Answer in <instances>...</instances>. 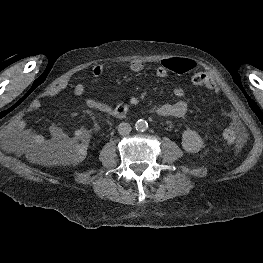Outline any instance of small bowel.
<instances>
[{
	"label": "small bowel",
	"mask_w": 263,
	"mask_h": 263,
	"mask_svg": "<svg viewBox=\"0 0 263 263\" xmlns=\"http://www.w3.org/2000/svg\"><path fill=\"white\" fill-rule=\"evenodd\" d=\"M172 59V58H170ZM170 59H163L161 60L157 67H156V75L159 78H166L168 75L172 72L166 65V63ZM192 63V69L195 66V63L193 60L184 58ZM130 69L135 72H141L144 69V62L141 60H133L130 63ZM93 76L99 77L104 72V67L101 64H96L92 67L91 70ZM70 85V80L68 78H64L59 80L57 83L50 85L46 88L44 91L45 97H54L59 94H61L63 91H65ZM73 92L77 97L83 98V105L99 110L105 113H111L114 115V112L121 106H111L103 102H99L95 99L85 97V86L81 83L76 84L73 88ZM185 94V90L182 87H176L173 90V95L178 98L175 102L170 103H164L162 105L156 106L153 109V112L159 116L163 117H182L186 114L188 110V104L182 100V97ZM136 100H131V104L135 105ZM234 124L239 125L238 121L235 117H233ZM19 130H20V136L23 140V142L28 147L29 154L34 158H40V156L50 151L56 147H59L70 140L69 136L66 134V132L59 126L53 124L49 128V138H45L43 135L38 134L36 132L31 131L25 122V120H21L19 122ZM73 137H82L85 141L88 137V132L85 128H78L74 131Z\"/></svg>",
	"instance_id": "obj_1"
}]
</instances>
